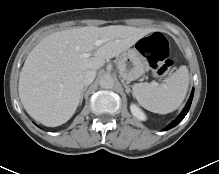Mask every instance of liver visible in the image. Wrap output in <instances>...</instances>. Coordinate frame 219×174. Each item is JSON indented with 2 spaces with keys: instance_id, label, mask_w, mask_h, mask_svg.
I'll return each mask as SVG.
<instances>
[{
  "instance_id": "6515ba94",
  "label": "liver",
  "mask_w": 219,
  "mask_h": 174,
  "mask_svg": "<svg viewBox=\"0 0 219 174\" xmlns=\"http://www.w3.org/2000/svg\"><path fill=\"white\" fill-rule=\"evenodd\" d=\"M151 29L123 25L87 26L55 32L28 54L19 77L24 109L48 127L67 122L75 113L84 88L81 75L98 70L119 56ZM103 40L97 47L95 42ZM84 53H93L85 58Z\"/></svg>"
}]
</instances>
